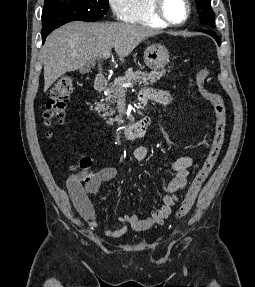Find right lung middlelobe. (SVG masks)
<instances>
[{"mask_svg": "<svg viewBox=\"0 0 255 287\" xmlns=\"http://www.w3.org/2000/svg\"><path fill=\"white\" fill-rule=\"evenodd\" d=\"M108 11V0H45L42 12V32L71 21H95Z\"/></svg>", "mask_w": 255, "mask_h": 287, "instance_id": "dd1d6c3e", "label": "right lung middle lobe"}]
</instances>
